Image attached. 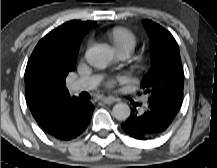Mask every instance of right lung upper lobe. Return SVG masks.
<instances>
[{"instance_id": "right-lung-upper-lobe-1", "label": "right lung upper lobe", "mask_w": 217, "mask_h": 168, "mask_svg": "<svg viewBox=\"0 0 217 168\" xmlns=\"http://www.w3.org/2000/svg\"><path fill=\"white\" fill-rule=\"evenodd\" d=\"M95 25L93 21H68L38 42L25 70V95L35 120L77 99L69 96L65 78L75 68L82 39Z\"/></svg>"}]
</instances>
